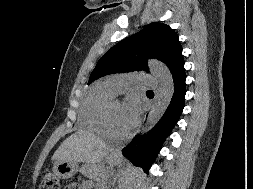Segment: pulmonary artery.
I'll list each match as a JSON object with an SVG mask.
<instances>
[{"label": "pulmonary artery", "instance_id": "e3ab8cb5", "mask_svg": "<svg viewBox=\"0 0 253 189\" xmlns=\"http://www.w3.org/2000/svg\"><path fill=\"white\" fill-rule=\"evenodd\" d=\"M106 82L114 93H117L122 87L132 83L144 87H155L157 84L156 79L148 74H139L134 78L116 75L110 77Z\"/></svg>", "mask_w": 253, "mask_h": 189}]
</instances>
